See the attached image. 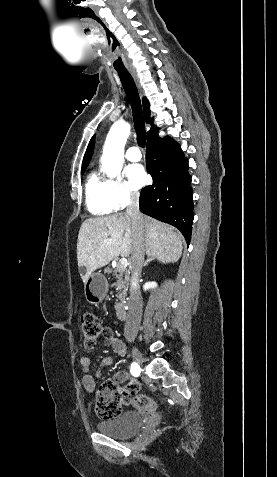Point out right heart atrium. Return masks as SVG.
<instances>
[{
	"instance_id": "d8ad5b80",
	"label": "right heart atrium",
	"mask_w": 277,
	"mask_h": 477,
	"mask_svg": "<svg viewBox=\"0 0 277 477\" xmlns=\"http://www.w3.org/2000/svg\"><path fill=\"white\" fill-rule=\"evenodd\" d=\"M109 197L114 210H121L139 198V191L123 179L109 180Z\"/></svg>"
}]
</instances>
